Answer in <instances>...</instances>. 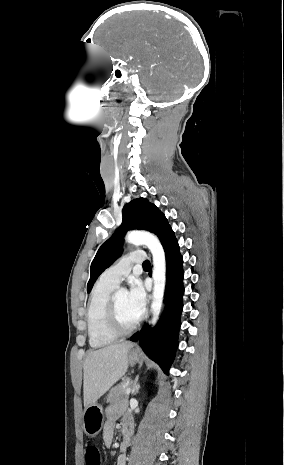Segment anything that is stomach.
Wrapping results in <instances>:
<instances>
[{
    "instance_id": "obj_1",
    "label": "stomach",
    "mask_w": 284,
    "mask_h": 465,
    "mask_svg": "<svg viewBox=\"0 0 284 465\" xmlns=\"http://www.w3.org/2000/svg\"><path fill=\"white\" fill-rule=\"evenodd\" d=\"M141 355L138 351H130L128 355L129 365L139 363ZM104 413L101 405L93 403L84 409L83 413V431L88 437H96L104 425Z\"/></svg>"
}]
</instances>
